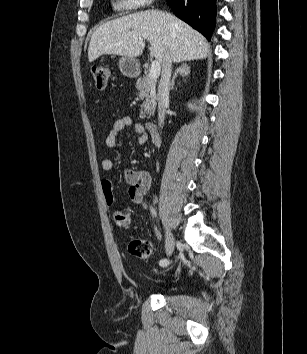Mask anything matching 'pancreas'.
I'll use <instances>...</instances> for the list:
<instances>
[{
  "label": "pancreas",
  "mask_w": 307,
  "mask_h": 354,
  "mask_svg": "<svg viewBox=\"0 0 307 354\" xmlns=\"http://www.w3.org/2000/svg\"><path fill=\"white\" fill-rule=\"evenodd\" d=\"M156 81L149 75L139 78L136 82L138 96L141 99V112L139 117L144 119L147 115L154 113L156 108Z\"/></svg>",
  "instance_id": "pancreas-1"
}]
</instances>
